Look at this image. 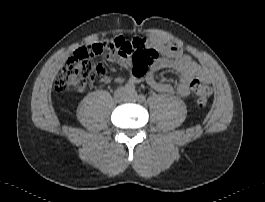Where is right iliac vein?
<instances>
[{"mask_svg": "<svg viewBox=\"0 0 265 202\" xmlns=\"http://www.w3.org/2000/svg\"><path fill=\"white\" fill-rule=\"evenodd\" d=\"M123 92H124V89H123V88L118 90V93H119V94H121V93H123Z\"/></svg>", "mask_w": 265, "mask_h": 202, "instance_id": "right-iliac-vein-1", "label": "right iliac vein"}]
</instances>
